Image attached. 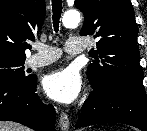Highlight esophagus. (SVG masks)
<instances>
[{
  "label": "esophagus",
  "instance_id": "34e87169",
  "mask_svg": "<svg viewBox=\"0 0 147 131\" xmlns=\"http://www.w3.org/2000/svg\"><path fill=\"white\" fill-rule=\"evenodd\" d=\"M59 126L61 131H68L69 126H70V121L68 114L66 112H61L60 114V119H59Z\"/></svg>",
  "mask_w": 147,
  "mask_h": 131
}]
</instances>
